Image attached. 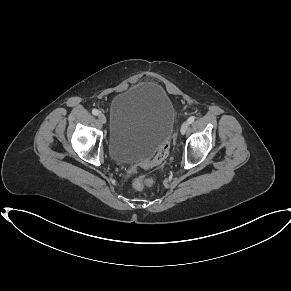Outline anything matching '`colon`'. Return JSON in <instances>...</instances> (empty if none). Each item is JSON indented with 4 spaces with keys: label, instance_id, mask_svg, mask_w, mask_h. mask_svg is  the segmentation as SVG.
<instances>
[{
    "label": "colon",
    "instance_id": "obj_1",
    "mask_svg": "<svg viewBox=\"0 0 291 291\" xmlns=\"http://www.w3.org/2000/svg\"><path fill=\"white\" fill-rule=\"evenodd\" d=\"M170 149V142L163 144L156 152L152 160L145 161L141 164V167L145 170L150 169L156 165L162 163L168 156ZM153 183L151 177H138L132 181V187L136 191H142L146 186H150Z\"/></svg>",
    "mask_w": 291,
    "mask_h": 291
}]
</instances>
